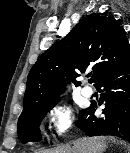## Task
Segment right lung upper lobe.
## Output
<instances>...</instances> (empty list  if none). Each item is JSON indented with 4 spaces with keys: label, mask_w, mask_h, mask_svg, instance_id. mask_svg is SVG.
Returning a JSON list of instances; mask_svg holds the SVG:
<instances>
[{
    "label": "right lung upper lobe",
    "mask_w": 130,
    "mask_h": 153,
    "mask_svg": "<svg viewBox=\"0 0 130 153\" xmlns=\"http://www.w3.org/2000/svg\"><path fill=\"white\" fill-rule=\"evenodd\" d=\"M130 57L126 32L113 16L90 14L46 50L29 72L22 114L59 99L65 85L92 69L89 82ZM21 114V115H22Z\"/></svg>",
    "instance_id": "cb5924a9"
}]
</instances>
